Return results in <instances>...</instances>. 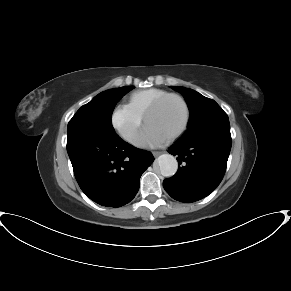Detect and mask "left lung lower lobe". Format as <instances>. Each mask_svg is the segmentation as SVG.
Returning <instances> with one entry per match:
<instances>
[{"label":"left lung lower lobe","mask_w":291,"mask_h":291,"mask_svg":"<svg viewBox=\"0 0 291 291\" xmlns=\"http://www.w3.org/2000/svg\"><path fill=\"white\" fill-rule=\"evenodd\" d=\"M231 143L229 120L178 139L168 152L177 156L179 168L164 180L166 192L185 203L208 196L224 176Z\"/></svg>","instance_id":"left-lung-lower-lobe-1"}]
</instances>
